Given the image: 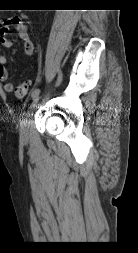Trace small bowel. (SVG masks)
<instances>
[{
  "label": "small bowel",
  "instance_id": "small-bowel-1",
  "mask_svg": "<svg viewBox=\"0 0 138 253\" xmlns=\"http://www.w3.org/2000/svg\"><path fill=\"white\" fill-rule=\"evenodd\" d=\"M10 26H14L15 29L17 30L18 35L23 42V50L25 55L31 57L34 54L35 46L29 35L28 26L21 18L18 17L9 18L0 26V45L3 48L12 47L13 42L9 35ZM6 65L7 59L0 52V80L5 82L4 90L7 93H11L14 90V84L8 81L9 73Z\"/></svg>",
  "mask_w": 138,
  "mask_h": 253
}]
</instances>
